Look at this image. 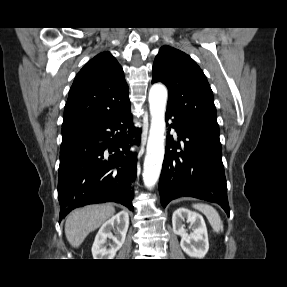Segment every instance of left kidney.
<instances>
[{"instance_id": "5707ae66", "label": "left kidney", "mask_w": 287, "mask_h": 287, "mask_svg": "<svg viewBox=\"0 0 287 287\" xmlns=\"http://www.w3.org/2000/svg\"><path fill=\"white\" fill-rule=\"evenodd\" d=\"M193 227V232L188 234L184 229L183 222ZM173 232L181 236L180 246L191 257L203 258L209 249L208 233L203 217L186 208H179L172 215Z\"/></svg>"}]
</instances>
